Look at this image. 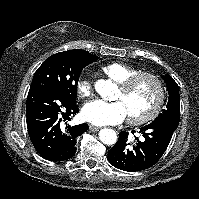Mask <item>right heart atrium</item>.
Returning <instances> with one entry per match:
<instances>
[{
	"mask_svg": "<svg viewBox=\"0 0 199 199\" xmlns=\"http://www.w3.org/2000/svg\"><path fill=\"white\" fill-rule=\"evenodd\" d=\"M92 81L86 77H80L76 82V92L81 98L89 97L92 94Z\"/></svg>",
	"mask_w": 199,
	"mask_h": 199,
	"instance_id": "obj_1",
	"label": "right heart atrium"
}]
</instances>
